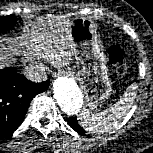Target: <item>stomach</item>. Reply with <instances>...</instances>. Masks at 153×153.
<instances>
[{"label":"stomach","mask_w":153,"mask_h":153,"mask_svg":"<svg viewBox=\"0 0 153 153\" xmlns=\"http://www.w3.org/2000/svg\"><path fill=\"white\" fill-rule=\"evenodd\" d=\"M96 30L91 19L75 17L71 20L70 36L74 57L82 66L76 72V79L81 84L85 101L91 109L107 100L112 92V82L107 73V58Z\"/></svg>","instance_id":"obj_1"}]
</instances>
